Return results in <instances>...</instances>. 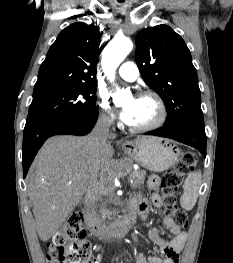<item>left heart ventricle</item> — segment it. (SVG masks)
<instances>
[{"label": "left heart ventricle", "mask_w": 233, "mask_h": 263, "mask_svg": "<svg viewBox=\"0 0 233 263\" xmlns=\"http://www.w3.org/2000/svg\"><path fill=\"white\" fill-rule=\"evenodd\" d=\"M134 101L135 115L131 125L142 126L153 122L159 113V109L155 101L151 98L130 99L126 102V106Z\"/></svg>", "instance_id": "1"}]
</instances>
